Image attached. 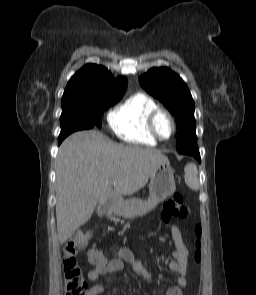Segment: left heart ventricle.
<instances>
[{"instance_id":"b2bd125f","label":"left heart ventricle","mask_w":256,"mask_h":295,"mask_svg":"<svg viewBox=\"0 0 256 295\" xmlns=\"http://www.w3.org/2000/svg\"><path fill=\"white\" fill-rule=\"evenodd\" d=\"M157 129L161 136L168 138L171 135V124L165 116H160L157 121Z\"/></svg>"}]
</instances>
